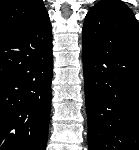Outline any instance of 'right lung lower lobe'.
Wrapping results in <instances>:
<instances>
[{"label": "right lung lower lobe", "mask_w": 139, "mask_h": 150, "mask_svg": "<svg viewBox=\"0 0 139 150\" xmlns=\"http://www.w3.org/2000/svg\"><path fill=\"white\" fill-rule=\"evenodd\" d=\"M52 75L47 11L0 37V150L46 149Z\"/></svg>", "instance_id": "1"}]
</instances>
